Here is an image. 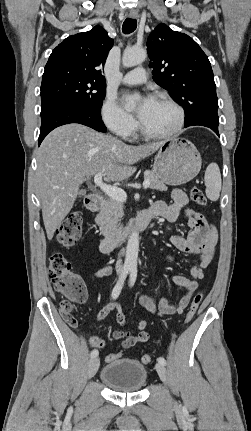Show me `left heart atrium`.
Returning <instances> with one entry per match:
<instances>
[{
  "instance_id": "39dd6f15",
  "label": "left heart atrium",
  "mask_w": 251,
  "mask_h": 431,
  "mask_svg": "<svg viewBox=\"0 0 251 431\" xmlns=\"http://www.w3.org/2000/svg\"><path fill=\"white\" fill-rule=\"evenodd\" d=\"M154 100L150 97L144 98L139 107H138V115L139 117L143 115L153 104Z\"/></svg>"
}]
</instances>
